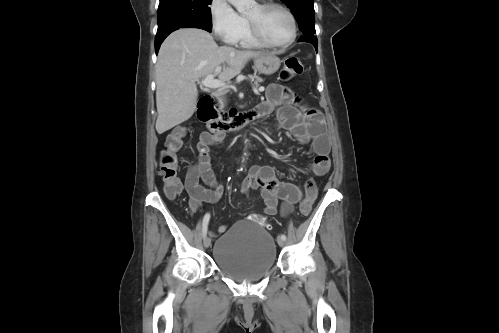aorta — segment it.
Returning <instances> with one entry per match:
<instances>
[{"label":"aorta","instance_id":"762f6f07","mask_svg":"<svg viewBox=\"0 0 499 333\" xmlns=\"http://www.w3.org/2000/svg\"><path fill=\"white\" fill-rule=\"evenodd\" d=\"M240 13H244L254 4V0H228Z\"/></svg>","mask_w":499,"mask_h":333}]
</instances>
